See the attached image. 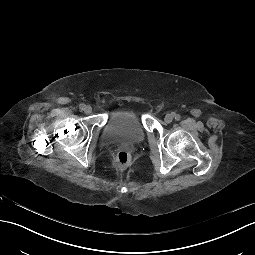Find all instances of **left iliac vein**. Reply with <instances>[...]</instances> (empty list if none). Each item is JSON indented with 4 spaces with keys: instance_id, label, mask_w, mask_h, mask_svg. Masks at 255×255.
I'll return each mask as SVG.
<instances>
[{
    "instance_id": "obj_1",
    "label": "left iliac vein",
    "mask_w": 255,
    "mask_h": 255,
    "mask_svg": "<svg viewBox=\"0 0 255 255\" xmlns=\"http://www.w3.org/2000/svg\"><path fill=\"white\" fill-rule=\"evenodd\" d=\"M164 120H165V122H167V123L172 122V120H173V115H172V114H167V115L165 116Z\"/></svg>"
}]
</instances>
